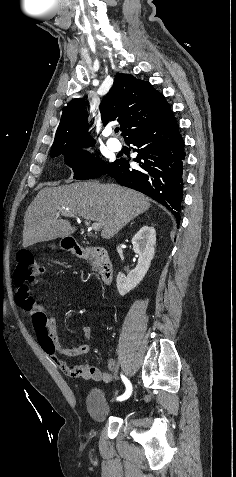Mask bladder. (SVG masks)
Instances as JSON below:
<instances>
[{
	"label": "bladder",
	"instance_id": "1",
	"mask_svg": "<svg viewBox=\"0 0 236 477\" xmlns=\"http://www.w3.org/2000/svg\"><path fill=\"white\" fill-rule=\"evenodd\" d=\"M85 397L90 418L95 423L105 422L118 407L102 390L97 388L89 389Z\"/></svg>",
	"mask_w": 236,
	"mask_h": 477
}]
</instances>
